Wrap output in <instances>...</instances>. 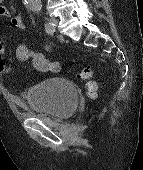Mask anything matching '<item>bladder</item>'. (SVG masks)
<instances>
[{
	"instance_id": "1",
	"label": "bladder",
	"mask_w": 143,
	"mask_h": 170,
	"mask_svg": "<svg viewBox=\"0 0 143 170\" xmlns=\"http://www.w3.org/2000/svg\"><path fill=\"white\" fill-rule=\"evenodd\" d=\"M30 113L51 119H66L77 108L76 87L60 77H47L23 92Z\"/></svg>"
}]
</instances>
